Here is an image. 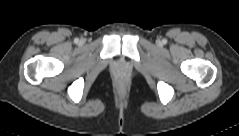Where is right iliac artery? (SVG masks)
Masks as SVG:
<instances>
[{"label": "right iliac artery", "mask_w": 239, "mask_h": 136, "mask_svg": "<svg viewBox=\"0 0 239 136\" xmlns=\"http://www.w3.org/2000/svg\"><path fill=\"white\" fill-rule=\"evenodd\" d=\"M74 42H75V43H78V42H79V39H78V38H75Z\"/></svg>", "instance_id": "right-iliac-artery-1"}]
</instances>
